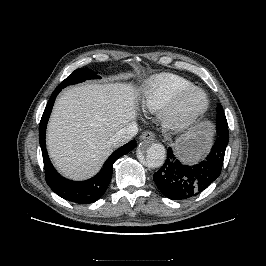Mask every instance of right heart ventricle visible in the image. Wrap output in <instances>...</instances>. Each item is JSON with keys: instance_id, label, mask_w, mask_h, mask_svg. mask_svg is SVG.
<instances>
[{"instance_id": "obj_1", "label": "right heart ventricle", "mask_w": 266, "mask_h": 266, "mask_svg": "<svg viewBox=\"0 0 266 266\" xmlns=\"http://www.w3.org/2000/svg\"><path fill=\"white\" fill-rule=\"evenodd\" d=\"M190 86L192 82L175 74L154 75L142 88L140 106L146 112L158 113L177 92Z\"/></svg>"}]
</instances>
